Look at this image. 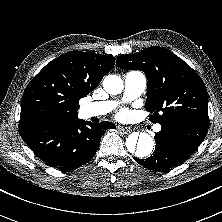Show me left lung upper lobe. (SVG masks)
I'll return each mask as SVG.
<instances>
[{
	"mask_svg": "<svg viewBox=\"0 0 222 222\" xmlns=\"http://www.w3.org/2000/svg\"><path fill=\"white\" fill-rule=\"evenodd\" d=\"M117 66L142 70L147 76L145 109L150 121L192 118L209 122L208 94L199 75L171 51L152 46L134 54L117 56Z\"/></svg>",
	"mask_w": 222,
	"mask_h": 222,
	"instance_id": "5c2ea615",
	"label": "left lung upper lobe"
}]
</instances>
